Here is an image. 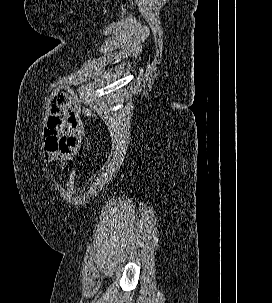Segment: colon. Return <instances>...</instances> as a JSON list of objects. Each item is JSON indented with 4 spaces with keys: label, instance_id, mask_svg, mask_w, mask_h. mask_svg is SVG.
<instances>
[{
    "label": "colon",
    "instance_id": "obj_1",
    "mask_svg": "<svg viewBox=\"0 0 272 303\" xmlns=\"http://www.w3.org/2000/svg\"><path fill=\"white\" fill-rule=\"evenodd\" d=\"M83 114L85 115L86 118H89V119L94 117V113L90 108H85L83 110ZM75 180H76V169H73L70 173L69 180H68V186H69L70 190L74 189Z\"/></svg>",
    "mask_w": 272,
    "mask_h": 303
}]
</instances>
